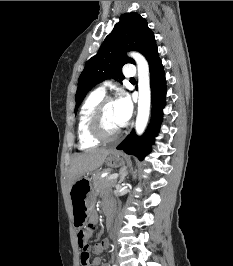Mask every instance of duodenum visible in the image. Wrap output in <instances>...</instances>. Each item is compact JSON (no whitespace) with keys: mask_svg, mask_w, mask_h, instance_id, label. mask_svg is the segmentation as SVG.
<instances>
[{"mask_svg":"<svg viewBox=\"0 0 233 266\" xmlns=\"http://www.w3.org/2000/svg\"><path fill=\"white\" fill-rule=\"evenodd\" d=\"M104 211L108 219L111 220L113 214V207L108 204L105 206Z\"/></svg>","mask_w":233,"mask_h":266,"instance_id":"duodenum-1","label":"duodenum"}]
</instances>
